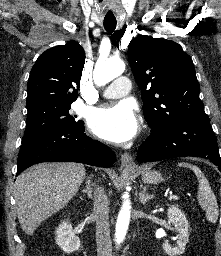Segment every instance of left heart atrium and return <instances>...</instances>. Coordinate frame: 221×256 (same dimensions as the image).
Wrapping results in <instances>:
<instances>
[{"instance_id":"left-heart-atrium-1","label":"left heart atrium","mask_w":221,"mask_h":256,"mask_svg":"<svg viewBox=\"0 0 221 256\" xmlns=\"http://www.w3.org/2000/svg\"><path fill=\"white\" fill-rule=\"evenodd\" d=\"M88 124L95 135L113 143L131 140L139 127L132 105L124 101L94 110Z\"/></svg>"}]
</instances>
